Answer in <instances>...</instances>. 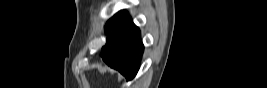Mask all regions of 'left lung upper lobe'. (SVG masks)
I'll return each instance as SVG.
<instances>
[{
  "instance_id": "obj_1",
  "label": "left lung upper lobe",
  "mask_w": 267,
  "mask_h": 88,
  "mask_svg": "<svg viewBox=\"0 0 267 88\" xmlns=\"http://www.w3.org/2000/svg\"><path fill=\"white\" fill-rule=\"evenodd\" d=\"M126 15L127 13L125 11H121L112 17L105 26L106 34H108Z\"/></svg>"
}]
</instances>
